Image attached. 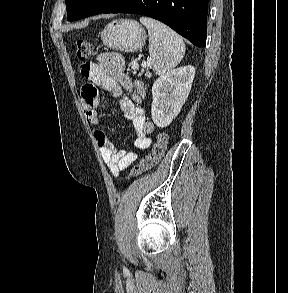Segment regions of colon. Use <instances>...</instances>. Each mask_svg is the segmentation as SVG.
I'll return each mask as SVG.
<instances>
[{
    "instance_id": "obj_1",
    "label": "colon",
    "mask_w": 288,
    "mask_h": 293,
    "mask_svg": "<svg viewBox=\"0 0 288 293\" xmlns=\"http://www.w3.org/2000/svg\"><path fill=\"white\" fill-rule=\"evenodd\" d=\"M75 48L77 58L83 62L88 61V59L95 54L93 44L85 39H77L75 41ZM167 143V134L160 133L152 152L133 167L128 176V179L140 176L141 174L155 167L163 157L167 147Z\"/></svg>"
}]
</instances>
